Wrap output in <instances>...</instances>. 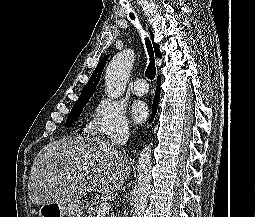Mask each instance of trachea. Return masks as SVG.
<instances>
[{
    "label": "trachea",
    "instance_id": "obj_1",
    "mask_svg": "<svg viewBox=\"0 0 255 217\" xmlns=\"http://www.w3.org/2000/svg\"><path fill=\"white\" fill-rule=\"evenodd\" d=\"M130 17L132 19H135V16L133 13H130ZM146 48L150 57V63L146 69L145 75L149 80H152L155 78L156 75V67H155V62H154V52H153V47L148 38H146Z\"/></svg>",
    "mask_w": 255,
    "mask_h": 217
}]
</instances>
